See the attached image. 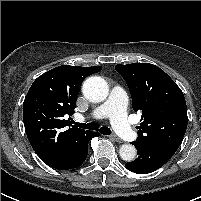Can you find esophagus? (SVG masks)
<instances>
[{"label":"esophagus","instance_id":"obj_1","mask_svg":"<svg viewBox=\"0 0 201 201\" xmlns=\"http://www.w3.org/2000/svg\"><path fill=\"white\" fill-rule=\"evenodd\" d=\"M109 138H110L111 140H113V141L121 142V139H120L118 136H116L115 134L109 135Z\"/></svg>","mask_w":201,"mask_h":201}]
</instances>
